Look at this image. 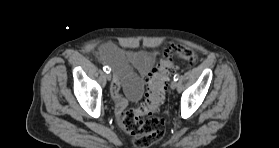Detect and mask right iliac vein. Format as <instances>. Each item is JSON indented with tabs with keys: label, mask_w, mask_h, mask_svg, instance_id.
<instances>
[{
	"label": "right iliac vein",
	"mask_w": 279,
	"mask_h": 148,
	"mask_svg": "<svg viewBox=\"0 0 279 148\" xmlns=\"http://www.w3.org/2000/svg\"><path fill=\"white\" fill-rule=\"evenodd\" d=\"M106 79L110 81L112 79L111 73H106Z\"/></svg>",
	"instance_id": "63e3f726"
}]
</instances>
